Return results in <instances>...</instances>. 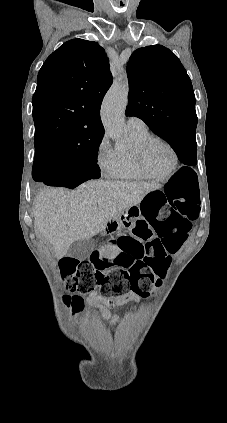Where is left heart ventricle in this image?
<instances>
[{"instance_id": "left-heart-ventricle-1", "label": "left heart ventricle", "mask_w": 227, "mask_h": 423, "mask_svg": "<svg viewBox=\"0 0 227 423\" xmlns=\"http://www.w3.org/2000/svg\"><path fill=\"white\" fill-rule=\"evenodd\" d=\"M146 164L155 174H165L171 167L172 155L161 143L152 144L146 153Z\"/></svg>"}]
</instances>
